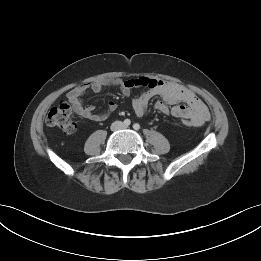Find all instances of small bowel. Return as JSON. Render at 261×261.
<instances>
[{
	"instance_id": "small-bowel-1",
	"label": "small bowel",
	"mask_w": 261,
	"mask_h": 261,
	"mask_svg": "<svg viewBox=\"0 0 261 261\" xmlns=\"http://www.w3.org/2000/svg\"><path fill=\"white\" fill-rule=\"evenodd\" d=\"M107 87L119 88L125 96H129L134 88H145L132 101L133 110L138 117L146 114L150 100L158 96L160 99L154 108L163 114L189 119L193 126H201L210 119L206 105L193 91L173 82L145 76L92 81L73 88L67 93V98L78 115L92 121H104L117 109V104L110 101L105 111L97 113L93 105H84L82 98L88 91L100 93Z\"/></svg>"
}]
</instances>
